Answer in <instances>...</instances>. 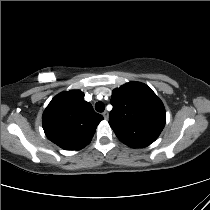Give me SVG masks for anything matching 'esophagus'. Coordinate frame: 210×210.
Wrapping results in <instances>:
<instances>
[{"label": "esophagus", "mask_w": 210, "mask_h": 210, "mask_svg": "<svg viewBox=\"0 0 210 210\" xmlns=\"http://www.w3.org/2000/svg\"><path fill=\"white\" fill-rule=\"evenodd\" d=\"M102 115H103V117H104L105 120H108L109 114H108L107 111H104V112L102 113Z\"/></svg>", "instance_id": "34e87169"}]
</instances>
